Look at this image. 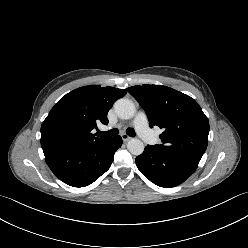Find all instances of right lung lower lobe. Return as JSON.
Returning a JSON list of instances; mask_svg holds the SVG:
<instances>
[{"label": "right lung lower lobe", "mask_w": 248, "mask_h": 248, "mask_svg": "<svg viewBox=\"0 0 248 248\" xmlns=\"http://www.w3.org/2000/svg\"><path fill=\"white\" fill-rule=\"evenodd\" d=\"M122 145L120 136L82 148L44 150L45 160L52 172L64 183L84 187L93 183L111 166L114 153Z\"/></svg>", "instance_id": "1"}]
</instances>
